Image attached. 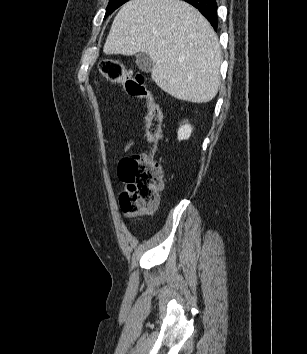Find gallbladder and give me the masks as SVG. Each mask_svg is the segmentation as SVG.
Returning <instances> with one entry per match:
<instances>
[{
  "instance_id": "gallbladder-1",
  "label": "gallbladder",
  "mask_w": 307,
  "mask_h": 354,
  "mask_svg": "<svg viewBox=\"0 0 307 354\" xmlns=\"http://www.w3.org/2000/svg\"><path fill=\"white\" fill-rule=\"evenodd\" d=\"M136 64L143 72H151L154 66L153 60L146 53L140 52L136 54Z\"/></svg>"
}]
</instances>
